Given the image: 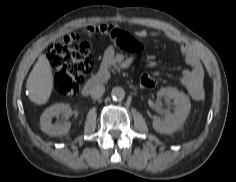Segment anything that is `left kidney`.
Instances as JSON below:
<instances>
[{"label":"left kidney","mask_w":236,"mask_h":182,"mask_svg":"<svg viewBox=\"0 0 236 182\" xmlns=\"http://www.w3.org/2000/svg\"><path fill=\"white\" fill-rule=\"evenodd\" d=\"M157 96L173 99L175 107L174 113L164 120L154 117L152 126L155 131L161 134H171L183 125L191 109L190 100L187 95L172 87L160 89Z\"/></svg>","instance_id":"left-kidney-1"}]
</instances>
